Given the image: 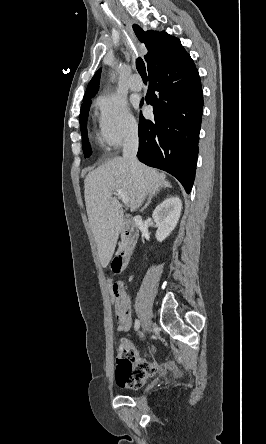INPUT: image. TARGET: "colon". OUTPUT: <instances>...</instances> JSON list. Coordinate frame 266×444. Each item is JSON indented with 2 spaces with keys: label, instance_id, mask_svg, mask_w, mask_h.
I'll return each mask as SVG.
<instances>
[{
  "label": "colon",
  "instance_id": "1",
  "mask_svg": "<svg viewBox=\"0 0 266 444\" xmlns=\"http://www.w3.org/2000/svg\"><path fill=\"white\" fill-rule=\"evenodd\" d=\"M124 294L123 283L116 281L111 285V301L114 308L118 307Z\"/></svg>",
  "mask_w": 266,
  "mask_h": 444
}]
</instances>
